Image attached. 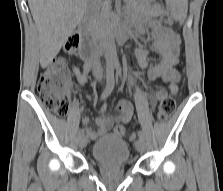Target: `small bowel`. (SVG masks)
<instances>
[{
	"mask_svg": "<svg viewBox=\"0 0 223 191\" xmlns=\"http://www.w3.org/2000/svg\"><path fill=\"white\" fill-rule=\"evenodd\" d=\"M160 12L161 10L158 6H153L149 14L152 18H148L145 22L151 31V44L156 48L160 55V61L148 69V77L151 81L162 79L167 84L169 91L176 94L178 92L177 83L180 80V74L176 66L179 63L181 38L173 30L161 25L160 21L156 18ZM140 29L143 31V27L140 26ZM136 56L140 67L146 68L147 50L145 48H139L136 52ZM94 64L95 63L91 64L87 62L79 71L78 82L82 86L87 83V77L92 71ZM166 94L167 91L165 89H158L154 91L150 104L155 105V103ZM116 110L117 115H106L105 104L102 103L98 109L96 129H92L88 126L90 123L89 118H82L81 123L85 126L84 131L91 140H96L108 133L115 123L126 124L131 120L133 116V108L129 102L126 100H120L116 105Z\"/></svg>",
	"mask_w": 223,
	"mask_h": 191,
	"instance_id": "small-bowel-1",
	"label": "small bowel"
}]
</instances>
